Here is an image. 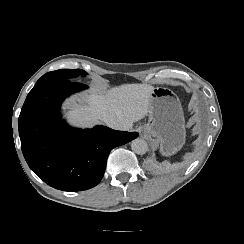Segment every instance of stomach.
<instances>
[{
    "label": "stomach",
    "instance_id": "obj_1",
    "mask_svg": "<svg viewBox=\"0 0 244 244\" xmlns=\"http://www.w3.org/2000/svg\"><path fill=\"white\" fill-rule=\"evenodd\" d=\"M143 133L155 137L164 155L170 156L182 148L185 142L184 116L179 98L172 90L154 89L149 121L144 125Z\"/></svg>",
    "mask_w": 244,
    "mask_h": 244
}]
</instances>
